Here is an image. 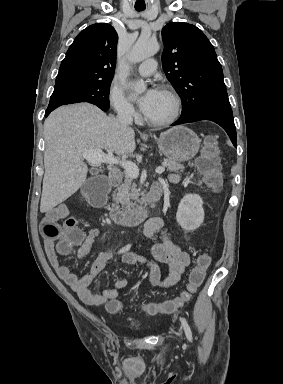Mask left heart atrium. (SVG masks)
<instances>
[{
  "mask_svg": "<svg viewBox=\"0 0 283 384\" xmlns=\"http://www.w3.org/2000/svg\"><path fill=\"white\" fill-rule=\"evenodd\" d=\"M160 90L158 88H148L139 98L138 105L142 113H147L155 100L157 99Z\"/></svg>",
  "mask_w": 283,
  "mask_h": 384,
  "instance_id": "39dd6f15",
  "label": "left heart atrium"
}]
</instances>
